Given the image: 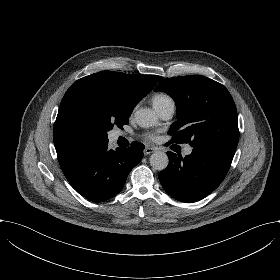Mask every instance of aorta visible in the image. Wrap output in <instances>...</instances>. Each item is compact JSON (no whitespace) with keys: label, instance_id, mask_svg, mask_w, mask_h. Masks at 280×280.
Returning <instances> with one entry per match:
<instances>
[{"label":"aorta","instance_id":"762f6f07","mask_svg":"<svg viewBox=\"0 0 280 280\" xmlns=\"http://www.w3.org/2000/svg\"><path fill=\"white\" fill-rule=\"evenodd\" d=\"M135 122L139 127L150 128L157 123L153 110L141 108L134 113ZM169 163L168 156L164 152H156L150 157V165L156 171H162L167 168Z\"/></svg>","mask_w":280,"mask_h":280}]
</instances>
